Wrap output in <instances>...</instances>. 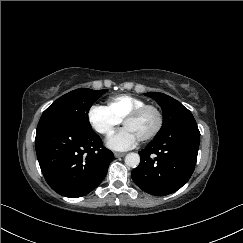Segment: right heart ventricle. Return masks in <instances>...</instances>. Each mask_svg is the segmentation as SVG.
<instances>
[{
    "mask_svg": "<svg viewBox=\"0 0 243 243\" xmlns=\"http://www.w3.org/2000/svg\"><path fill=\"white\" fill-rule=\"evenodd\" d=\"M145 104L144 100L128 94L116 95L108 100L109 110L119 120H123L131 111Z\"/></svg>",
    "mask_w": 243,
    "mask_h": 243,
    "instance_id": "obj_1",
    "label": "right heart ventricle"
}]
</instances>
